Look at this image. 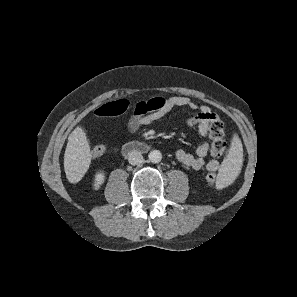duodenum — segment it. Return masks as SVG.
Here are the masks:
<instances>
[{"label":"duodenum","instance_id":"410a0bca","mask_svg":"<svg viewBox=\"0 0 297 297\" xmlns=\"http://www.w3.org/2000/svg\"><path fill=\"white\" fill-rule=\"evenodd\" d=\"M148 149L147 145L141 141L127 142L122 147V153L125 156H131L136 153H144Z\"/></svg>","mask_w":297,"mask_h":297}]
</instances>
